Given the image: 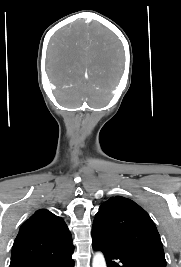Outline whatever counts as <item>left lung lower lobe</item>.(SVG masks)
<instances>
[{"label": "left lung lower lobe", "instance_id": "obj_1", "mask_svg": "<svg viewBox=\"0 0 181 267\" xmlns=\"http://www.w3.org/2000/svg\"><path fill=\"white\" fill-rule=\"evenodd\" d=\"M92 246L104 253L107 267H161L104 238L93 237Z\"/></svg>", "mask_w": 181, "mask_h": 267}]
</instances>
